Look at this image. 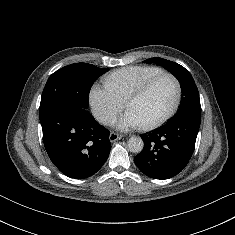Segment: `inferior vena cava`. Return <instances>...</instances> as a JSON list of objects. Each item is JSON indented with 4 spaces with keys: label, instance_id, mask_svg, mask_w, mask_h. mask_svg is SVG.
Instances as JSON below:
<instances>
[{
    "label": "inferior vena cava",
    "instance_id": "1",
    "mask_svg": "<svg viewBox=\"0 0 235 235\" xmlns=\"http://www.w3.org/2000/svg\"><path fill=\"white\" fill-rule=\"evenodd\" d=\"M99 119L103 123H108L112 120V117L109 115H102Z\"/></svg>",
    "mask_w": 235,
    "mask_h": 235
}]
</instances>
